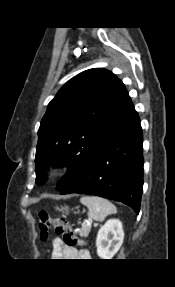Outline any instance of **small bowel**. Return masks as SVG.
Returning a JSON list of instances; mask_svg holds the SVG:
<instances>
[{
	"label": "small bowel",
	"mask_w": 175,
	"mask_h": 287,
	"mask_svg": "<svg viewBox=\"0 0 175 287\" xmlns=\"http://www.w3.org/2000/svg\"><path fill=\"white\" fill-rule=\"evenodd\" d=\"M52 257L55 259H89L90 252L85 249L77 250L65 245L60 238H55L52 242Z\"/></svg>",
	"instance_id": "obj_1"
}]
</instances>
